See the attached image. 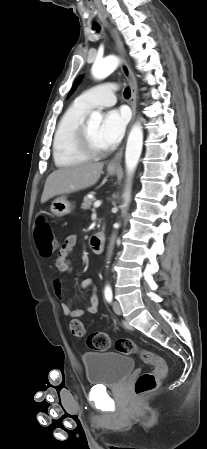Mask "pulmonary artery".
Segmentation results:
<instances>
[{
  "label": "pulmonary artery",
  "mask_w": 207,
  "mask_h": 449,
  "mask_svg": "<svg viewBox=\"0 0 207 449\" xmlns=\"http://www.w3.org/2000/svg\"><path fill=\"white\" fill-rule=\"evenodd\" d=\"M117 89L118 86L114 83L98 84L79 95L75 103L88 109L109 107L116 103L115 92Z\"/></svg>",
  "instance_id": "pulmonary-artery-1"
}]
</instances>
